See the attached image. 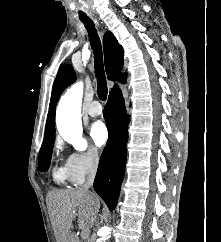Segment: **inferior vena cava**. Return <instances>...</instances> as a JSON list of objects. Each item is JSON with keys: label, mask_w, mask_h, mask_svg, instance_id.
Returning <instances> with one entry per match:
<instances>
[{"label": "inferior vena cava", "mask_w": 221, "mask_h": 242, "mask_svg": "<svg viewBox=\"0 0 221 242\" xmlns=\"http://www.w3.org/2000/svg\"><path fill=\"white\" fill-rule=\"evenodd\" d=\"M97 171V160L92 161L87 171V180L85 184L81 187L82 190L88 191L89 188L93 186L95 175ZM93 194V193H92Z\"/></svg>", "instance_id": "1"}]
</instances>
